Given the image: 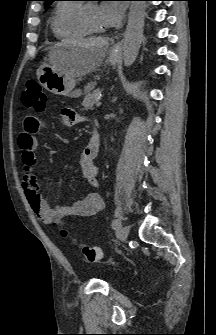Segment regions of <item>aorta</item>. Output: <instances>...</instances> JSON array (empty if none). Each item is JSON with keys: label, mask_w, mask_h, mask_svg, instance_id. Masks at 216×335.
Masks as SVG:
<instances>
[{"label": "aorta", "mask_w": 216, "mask_h": 335, "mask_svg": "<svg viewBox=\"0 0 216 335\" xmlns=\"http://www.w3.org/2000/svg\"><path fill=\"white\" fill-rule=\"evenodd\" d=\"M144 1H133L130 6L128 23L123 39V61L130 67L136 60L143 38L145 24Z\"/></svg>", "instance_id": "1"}]
</instances>
